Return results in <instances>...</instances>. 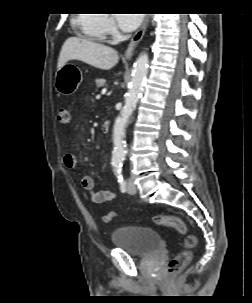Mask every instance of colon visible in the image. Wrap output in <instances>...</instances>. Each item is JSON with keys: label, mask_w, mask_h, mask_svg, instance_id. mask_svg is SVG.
<instances>
[{"label": "colon", "mask_w": 252, "mask_h": 303, "mask_svg": "<svg viewBox=\"0 0 252 303\" xmlns=\"http://www.w3.org/2000/svg\"><path fill=\"white\" fill-rule=\"evenodd\" d=\"M59 121L63 124L70 122V111L66 106L59 108ZM114 212H109L103 215L105 223L110 222L115 217ZM152 220L155 224L160 226H169L175 228L179 233L185 234L187 228L185 223L176 216L172 215H154ZM197 247V238L193 235H188L184 239L183 249L179 251L169 262L167 267V274L169 277L177 276L185 266L190 262L194 249Z\"/></svg>", "instance_id": "5ec220e1"}]
</instances>
